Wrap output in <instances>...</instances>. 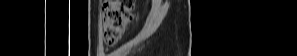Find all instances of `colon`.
I'll use <instances>...</instances> for the list:
<instances>
[{
	"label": "colon",
	"instance_id": "5ec220e1",
	"mask_svg": "<svg viewBox=\"0 0 297 56\" xmlns=\"http://www.w3.org/2000/svg\"><path fill=\"white\" fill-rule=\"evenodd\" d=\"M135 1L108 0L102 7L104 21V40L115 45L124 35L127 26L134 18Z\"/></svg>",
	"mask_w": 297,
	"mask_h": 56
}]
</instances>
